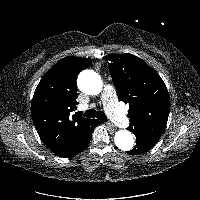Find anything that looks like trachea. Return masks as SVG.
<instances>
[{
  "instance_id": "1",
  "label": "trachea",
  "mask_w": 200,
  "mask_h": 200,
  "mask_svg": "<svg viewBox=\"0 0 200 200\" xmlns=\"http://www.w3.org/2000/svg\"><path fill=\"white\" fill-rule=\"evenodd\" d=\"M85 117L88 118H97L99 119L101 122H106L107 121V117L106 115L102 112V111H96L94 109H89L84 113Z\"/></svg>"
}]
</instances>
